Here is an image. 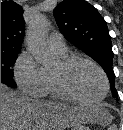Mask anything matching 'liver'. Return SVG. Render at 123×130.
Returning <instances> with one entry per match:
<instances>
[{
    "label": "liver",
    "instance_id": "obj_1",
    "mask_svg": "<svg viewBox=\"0 0 123 130\" xmlns=\"http://www.w3.org/2000/svg\"><path fill=\"white\" fill-rule=\"evenodd\" d=\"M95 107L32 99L1 84V130H65L100 121Z\"/></svg>",
    "mask_w": 123,
    "mask_h": 130
}]
</instances>
